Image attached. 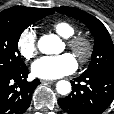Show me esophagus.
Returning <instances> with one entry per match:
<instances>
[{
	"mask_svg": "<svg viewBox=\"0 0 114 114\" xmlns=\"http://www.w3.org/2000/svg\"><path fill=\"white\" fill-rule=\"evenodd\" d=\"M41 82H42L43 84H52V83H54L55 81H54V80H41Z\"/></svg>",
	"mask_w": 114,
	"mask_h": 114,
	"instance_id": "obj_1",
	"label": "esophagus"
}]
</instances>
